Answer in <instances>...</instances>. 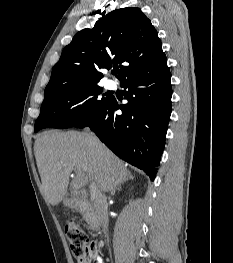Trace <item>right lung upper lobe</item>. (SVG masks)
Wrapping results in <instances>:
<instances>
[{"instance_id": "obj_1", "label": "right lung upper lobe", "mask_w": 233, "mask_h": 263, "mask_svg": "<svg viewBox=\"0 0 233 263\" xmlns=\"http://www.w3.org/2000/svg\"><path fill=\"white\" fill-rule=\"evenodd\" d=\"M121 63L126 65H120V82L167 65L158 33L139 8L112 11L78 32L53 67L44 97L98 84L99 69Z\"/></svg>"}]
</instances>
